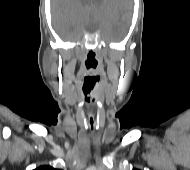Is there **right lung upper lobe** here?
<instances>
[{"instance_id":"cb5924a9","label":"right lung upper lobe","mask_w":190,"mask_h":170,"mask_svg":"<svg viewBox=\"0 0 190 170\" xmlns=\"http://www.w3.org/2000/svg\"><path fill=\"white\" fill-rule=\"evenodd\" d=\"M35 170H60V169H55L51 166L45 165V166H40V167L36 168Z\"/></svg>"}]
</instances>
